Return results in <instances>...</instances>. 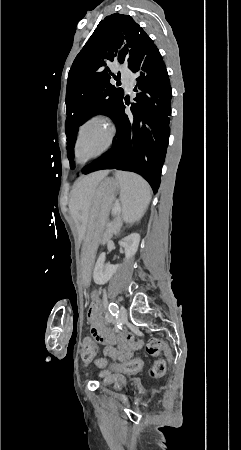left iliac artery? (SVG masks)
<instances>
[{
	"instance_id": "left-iliac-artery-1",
	"label": "left iliac artery",
	"mask_w": 241,
	"mask_h": 450,
	"mask_svg": "<svg viewBox=\"0 0 241 450\" xmlns=\"http://www.w3.org/2000/svg\"><path fill=\"white\" fill-rule=\"evenodd\" d=\"M109 311H110V313H111L113 316H117L118 313H119L117 304L114 303V302H111V303L109 304Z\"/></svg>"
}]
</instances>
